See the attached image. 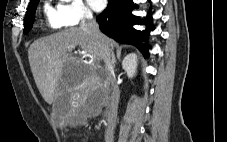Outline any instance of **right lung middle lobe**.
Here are the masks:
<instances>
[{
	"label": "right lung middle lobe",
	"mask_w": 227,
	"mask_h": 142,
	"mask_svg": "<svg viewBox=\"0 0 227 142\" xmlns=\"http://www.w3.org/2000/svg\"><path fill=\"white\" fill-rule=\"evenodd\" d=\"M39 0H36L29 4L25 19H24V33H27L32 28L34 22V14Z\"/></svg>",
	"instance_id": "obj_1"
}]
</instances>
